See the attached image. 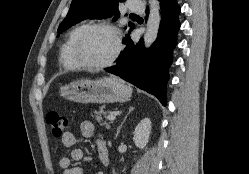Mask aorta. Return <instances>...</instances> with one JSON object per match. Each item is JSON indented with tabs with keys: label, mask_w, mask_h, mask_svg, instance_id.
<instances>
[{
	"label": "aorta",
	"mask_w": 249,
	"mask_h": 174,
	"mask_svg": "<svg viewBox=\"0 0 249 174\" xmlns=\"http://www.w3.org/2000/svg\"><path fill=\"white\" fill-rule=\"evenodd\" d=\"M149 17L147 21V28L144 34V44L148 48L156 40L159 26L161 22L160 2L158 0H149Z\"/></svg>",
	"instance_id": "aorta-1"
}]
</instances>
